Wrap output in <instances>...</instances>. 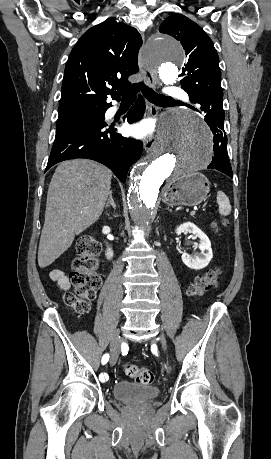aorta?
<instances>
[{"label":"aorta","mask_w":271,"mask_h":459,"mask_svg":"<svg viewBox=\"0 0 271 459\" xmlns=\"http://www.w3.org/2000/svg\"><path fill=\"white\" fill-rule=\"evenodd\" d=\"M146 56L164 83L176 82L177 65L184 58L178 41L166 35L157 36L149 42ZM211 160V134L204 121L186 110H169L162 119L154 151L131 171L127 200L134 224L149 232L163 182L197 173Z\"/></svg>","instance_id":"762f6f07"}]
</instances>
